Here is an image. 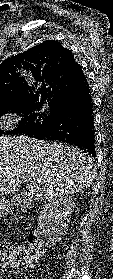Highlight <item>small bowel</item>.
Wrapping results in <instances>:
<instances>
[{"label": "small bowel", "mask_w": 113, "mask_h": 279, "mask_svg": "<svg viewBox=\"0 0 113 279\" xmlns=\"http://www.w3.org/2000/svg\"><path fill=\"white\" fill-rule=\"evenodd\" d=\"M8 264H9L10 267H13V268H14V267H18V266L20 265V263L17 262V261H15V260L9 262ZM0 279H2V276H1V275H0Z\"/></svg>", "instance_id": "obj_1"}]
</instances>
